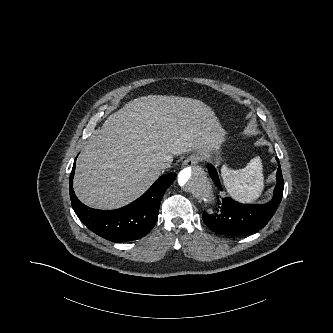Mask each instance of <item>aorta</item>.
I'll list each match as a JSON object with an SVG mask.
<instances>
[{
  "label": "aorta",
  "mask_w": 333,
  "mask_h": 333,
  "mask_svg": "<svg viewBox=\"0 0 333 333\" xmlns=\"http://www.w3.org/2000/svg\"><path fill=\"white\" fill-rule=\"evenodd\" d=\"M177 184L186 195L214 210L217 205L216 192L203 168H184L178 174Z\"/></svg>",
  "instance_id": "762f6f07"
}]
</instances>
